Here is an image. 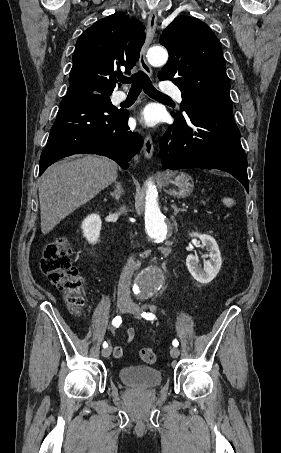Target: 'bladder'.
<instances>
[{
	"label": "bladder",
	"mask_w": 281,
	"mask_h": 453,
	"mask_svg": "<svg viewBox=\"0 0 281 453\" xmlns=\"http://www.w3.org/2000/svg\"><path fill=\"white\" fill-rule=\"evenodd\" d=\"M118 377L124 384L139 389L155 388L162 382L161 372L148 366L122 367L118 371Z\"/></svg>",
	"instance_id": "obj_1"
}]
</instances>
